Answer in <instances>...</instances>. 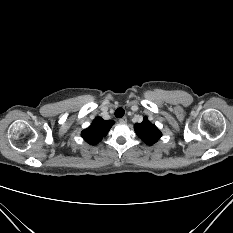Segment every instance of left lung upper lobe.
Wrapping results in <instances>:
<instances>
[{"label": "left lung upper lobe", "instance_id": "obj_1", "mask_svg": "<svg viewBox=\"0 0 233 233\" xmlns=\"http://www.w3.org/2000/svg\"><path fill=\"white\" fill-rule=\"evenodd\" d=\"M136 134L148 145H152L157 142L162 133L160 130L152 124L147 117H144L142 123H137L134 126Z\"/></svg>", "mask_w": 233, "mask_h": 233}]
</instances>
